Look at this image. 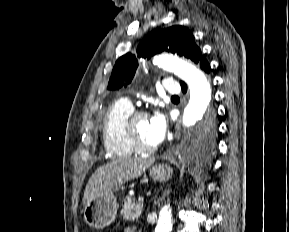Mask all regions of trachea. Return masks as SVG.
<instances>
[{
	"mask_svg": "<svg viewBox=\"0 0 289 232\" xmlns=\"http://www.w3.org/2000/svg\"><path fill=\"white\" fill-rule=\"evenodd\" d=\"M172 98H178V96H172Z\"/></svg>",
	"mask_w": 289,
	"mask_h": 232,
	"instance_id": "1",
	"label": "trachea"
}]
</instances>
